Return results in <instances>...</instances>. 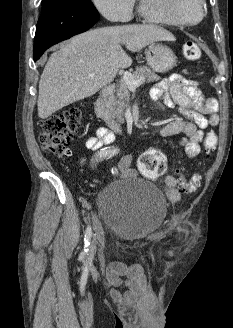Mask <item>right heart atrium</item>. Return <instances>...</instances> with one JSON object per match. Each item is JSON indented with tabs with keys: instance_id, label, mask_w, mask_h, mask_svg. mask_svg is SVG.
Wrapping results in <instances>:
<instances>
[{
	"instance_id": "right-heart-atrium-1",
	"label": "right heart atrium",
	"mask_w": 233,
	"mask_h": 328,
	"mask_svg": "<svg viewBox=\"0 0 233 328\" xmlns=\"http://www.w3.org/2000/svg\"><path fill=\"white\" fill-rule=\"evenodd\" d=\"M97 11L106 19L125 22L132 18L135 0H91Z\"/></svg>"
}]
</instances>
